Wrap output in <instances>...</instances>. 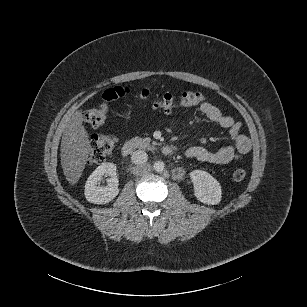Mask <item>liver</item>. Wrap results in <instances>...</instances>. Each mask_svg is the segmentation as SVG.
I'll list each match as a JSON object with an SVG mask.
<instances>
[{
    "instance_id": "obj_1",
    "label": "liver",
    "mask_w": 307,
    "mask_h": 307,
    "mask_svg": "<svg viewBox=\"0 0 307 307\" xmlns=\"http://www.w3.org/2000/svg\"><path fill=\"white\" fill-rule=\"evenodd\" d=\"M84 116L81 111H76L71 116L62 119L60 128L63 136L61 140V165L66 180L76 184L85 168L93 149L89 136L83 123Z\"/></svg>"
}]
</instances>
